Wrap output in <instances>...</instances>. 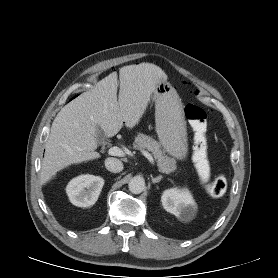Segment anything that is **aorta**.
I'll return each mask as SVG.
<instances>
[{
    "label": "aorta",
    "mask_w": 278,
    "mask_h": 278,
    "mask_svg": "<svg viewBox=\"0 0 278 278\" xmlns=\"http://www.w3.org/2000/svg\"><path fill=\"white\" fill-rule=\"evenodd\" d=\"M128 187L133 194H140L145 189V181L142 177L135 176L130 180Z\"/></svg>",
    "instance_id": "obj_1"
}]
</instances>
